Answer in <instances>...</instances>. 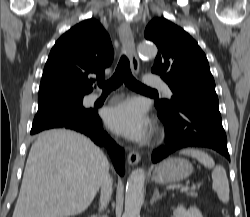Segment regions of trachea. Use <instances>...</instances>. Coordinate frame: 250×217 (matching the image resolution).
Returning <instances> with one entry per match:
<instances>
[{
  "label": "trachea",
  "mask_w": 250,
  "mask_h": 217,
  "mask_svg": "<svg viewBox=\"0 0 250 217\" xmlns=\"http://www.w3.org/2000/svg\"><path fill=\"white\" fill-rule=\"evenodd\" d=\"M122 83L128 88L135 90L156 91L143 85L133 77L130 69V62L125 55L120 58L113 76L108 81L99 82L98 86L102 88L104 92H110L118 88Z\"/></svg>",
  "instance_id": "3493384b"
}]
</instances>
